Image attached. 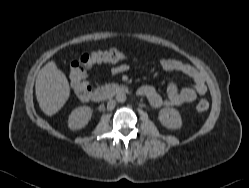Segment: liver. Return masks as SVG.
Masks as SVG:
<instances>
[{
    "instance_id": "obj_1",
    "label": "liver",
    "mask_w": 249,
    "mask_h": 188,
    "mask_svg": "<svg viewBox=\"0 0 249 188\" xmlns=\"http://www.w3.org/2000/svg\"><path fill=\"white\" fill-rule=\"evenodd\" d=\"M35 92L41 110L48 116L56 114L69 99V82L54 61H49L39 71Z\"/></svg>"
}]
</instances>
